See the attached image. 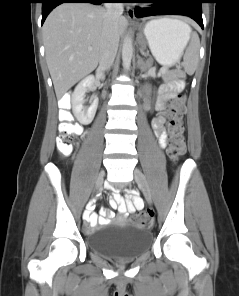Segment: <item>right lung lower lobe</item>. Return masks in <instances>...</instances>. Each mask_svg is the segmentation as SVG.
<instances>
[{"label": "right lung lower lobe", "instance_id": "obj_1", "mask_svg": "<svg viewBox=\"0 0 239 296\" xmlns=\"http://www.w3.org/2000/svg\"><path fill=\"white\" fill-rule=\"evenodd\" d=\"M111 0H41L42 3V24L47 15L61 3H92L101 4Z\"/></svg>", "mask_w": 239, "mask_h": 296}]
</instances>
